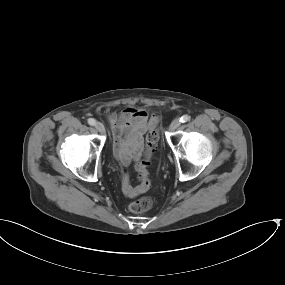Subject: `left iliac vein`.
Segmentation results:
<instances>
[{
	"mask_svg": "<svg viewBox=\"0 0 285 285\" xmlns=\"http://www.w3.org/2000/svg\"><path fill=\"white\" fill-rule=\"evenodd\" d=\"M180 124H181V122H180L179 119H174V120L172 121V123L170 124V130H171V131L176 130V129L180 126Z\"/></svg>",
	"mask_w": 285,
	"mask_h": 285,
	"instance_id": "left-iliac-vein-1",
	"label": "left iliac vein"
}]
</instances>
